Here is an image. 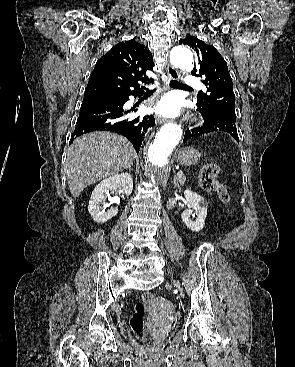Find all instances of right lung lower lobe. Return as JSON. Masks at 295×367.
Returning <instances> with one entry per match:
<instances>
[{"instance_id": "obj_1", "label": "right lung lower lobe", "mask_w": 295, "mask_h": 367, "mask_svg": "<svg viewBox=\"0 0 295 367\" xmlns=\"http://www.w3.org/2000/svg\"><path fill=\"white\" fill-rule=\"evenodd\" d=\"M139 94L143 92L114 98L84 99L70 143L74 138L85 133L111 131L125 136L138 153L147 128L155 123L153 116L131 117L128 115L130 111L123 110V105L129 100V96Z\"/></svg>"}]
</instances>
